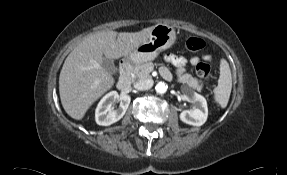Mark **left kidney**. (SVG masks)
Masks as SVG:
<instances>
[{"label":"left kidney","instance_id":"obj_1","mask_svg":"<svg viewBox=\"0 0 287 175\" xmlns=\"http://www.w3.org/2000/svg\"><path fill=\"white\" fill-rule=\"evenodd\" d=\"M186 100L193 103L194 107L190 110H183L180 113V120L193 126L203 125L208 116L206 99L196 92H189L186 94Z\"/></svg>","mask_w":287,"mask_h":175}]
</instances>
